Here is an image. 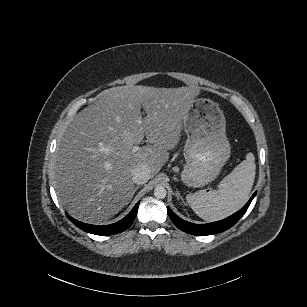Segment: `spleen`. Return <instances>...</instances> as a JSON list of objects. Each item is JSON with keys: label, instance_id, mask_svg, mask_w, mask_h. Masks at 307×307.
<instances>
[{"label": "spleen", "instance_id": "spleen-1", "mask_svg": "<svg viewBox=\"0 0 307 307\" xmlns=\"http://www.w3.org/2000/svg\"><path fill=\"white\" fill-rule=\"evenodd\" d=\"M255 175V156L252 152H247L245 160L221 181L219 190L190 194L187 201L202 219L209 222L222 220L245 205Z\"/></svg>", "mask_w": 307, "mask_h": 307}]
</instances>
